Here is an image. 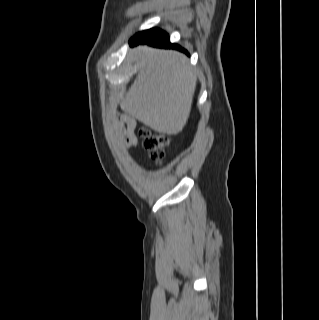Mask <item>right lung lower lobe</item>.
I'll use <instances>...</instances> for the list:
<instances>
[{"mask_svg": "<svg viewBox=\"0 0 319 320\" xmlns=\"http://www.w3.org/2000/svg\"><path fill=\"white\" fill-rule=\"evenodd\" d=\"M149 44L155 47L160 48H176L179 50H183L180 46L176 44H171L169 42V36L164 31H161L160 29L153 28L150 30L142 31L138 34H136L131 40V45H137V44ZM184 51V50H183Z\"/></svg>", "mask_w": 319, "mask_h": 320, "instance_id": "1", "label": "right lung lower lobe"}]
</instances>
